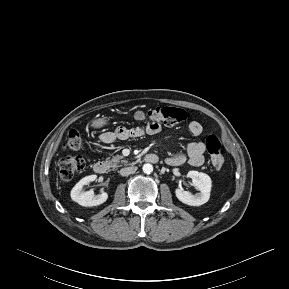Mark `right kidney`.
<instances>
[{
    "label": "right kidney",
    "instance_id": "right-kidney-1",
    "mask_svg": "<svg viewBox=\"0 0 289 289\" xmlns=\"http://www.w3.org/2000/svg\"><path fill=\"white\" fill-rule=\"evenodd\" d=\"M96 178V175H89L82 178L71 190L72 200L85 207H92L103 204L108 198V194L106 192L95 195L92 190L85 191L84 189L85 185L95 181Z\"/></svg>",
    "mask_w": 289,
    "mask_h": 289
}]
</instances>
